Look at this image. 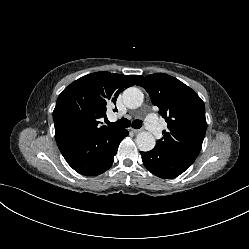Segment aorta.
I'll use <instances>...</instances> for the list:
<instances>
[{"instance_id":"1","label":"aorta","mask_w":249,"mask_h":249,"mask_svg":"<svg viewBox=\"0 0 249 249\" xmlns=\"http://www.w3.org/2000/svg\"><path fill=\"white\" fill-rule=\"evenodd\" d=\"M144 95L137 87L127 88L123 92L124 104L131 109H136L141 106ZM136 144L140 151H151L156 144L155 137L149 132H140L136 137Z\"/></svg>"}]
</instances>
